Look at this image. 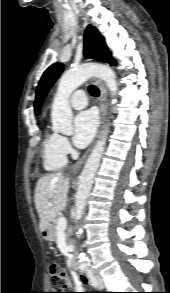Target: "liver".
Returning a JSON list of instances; mask_svg holds the SVG:
<instances>
[{
    "label": "liver",
    "mask_w": 170,
    "mask_h": 293,
    "mask_svg": "<svg viewBox=\"0 0 170 293\" xmlns=\"http://www.w3.org/2000/svg\"><path fill=\"white\" fill-rule=\"evenodd\" d=\"M70 180L61 172L41 177L35 188V206L39 214L41 232L48 230L51 222L67 205ZM52 203V205H48Z\"/></svg>",
    "instance_id": "1"
}]
</instances>
